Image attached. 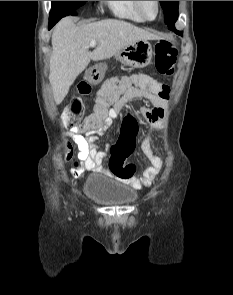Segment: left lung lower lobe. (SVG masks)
<instances>
[{
    "label": "left lung lower lobe",
    "instance_id": "obj_1",
    "mask_svg": "<svg viewBox=\"0 0 233 295\" xmlns=\"http://www.w3.org/2000/svg\"><path fill=\"white\" fill-rule=\"evenodd\" d=\"M170 30L174 31V32H175L176 34H178V35H182V32L177 31V30L175 29V26L171 27Z\"/></svg>",
    "mask_w": 233,
    "mask_h": 295
}]
</instances>
